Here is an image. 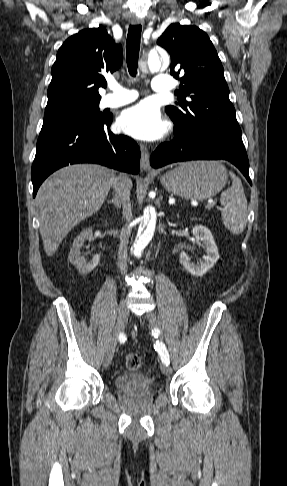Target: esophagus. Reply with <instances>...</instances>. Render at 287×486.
<instances>
[{
    "mask_svg": "<svg viewBox=\"0 0 287 486\" xmlns=\"http://www.w3.org/2000/svg\"><path fill=\"white\" fill-rule=\"evenodd\" d=\"M132 23L134 25H141L143 24V20L140 19V18H134L132 20ZM140 151H141V159H140V167L142 170H145V171H150L151 170V167H150V162H149V150L147 149V147L143 144H140Z\"/></svg>",
    "mask_w": 287,
    "mask_h": 486,
    "instance_id": "obj_1",
    "label": "esophagus"
}]
</instances>
